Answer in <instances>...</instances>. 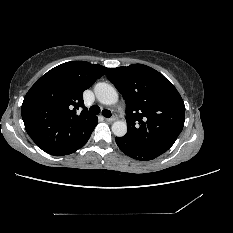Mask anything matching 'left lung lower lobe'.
<instances>
[{
	"label": "left lung lower lobe",
	"instance_id": "1",
	"mask_svg": "<svg viewBox=\"0 0 233 233\" xmlns=\"http://www.w3.org/2000/svg\"><path fill=\"white\" fill-rule=\"evenodd\" d=\"M115 140L120 150L133 159L148 161L161 155L159 152L136 145L126 137H116Z\"/></svg>",
	"mask_w": 233,
	"mask_h": 233
}]
</instances>
